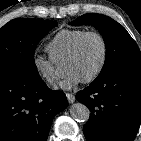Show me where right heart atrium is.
I'll list each match as a JSON object with an SVG mask.
<instances>
[{"label": "right heart atrium", "mask_w": 141, "mask_h": 141, "mask_svg": "<svg viewBox=\"0 0 141 141\" xmlns=\"http://www.w3.org/2000/svg\"><path fill=\"white\" fill-rule=\"evenodd\" d=\"M32 64L38 76L48 85H54L58 81L59 73L57 66L51 57L34 55Z\"/></svg>", "instance_id": "1"}]
</instances>
